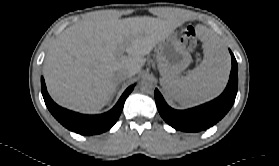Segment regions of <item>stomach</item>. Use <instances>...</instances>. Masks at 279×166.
<instances>
[{
    "label": "stomach",
    "instance_id": "obj_1",
    "mask_svg": "<svg viewBox=\"0 0 279 166\" xmlns=\"http://www.w3.org/2000/svg\"><path fill=\"white\" fill-rule=\"evenodd\" d=\"M156 61L162 79H174L189 66L192 58L178 37L171 33L159 42Z\"/></svg>",
    "mask_w": 279,
    "mask_h": 166
}]
</instances>
